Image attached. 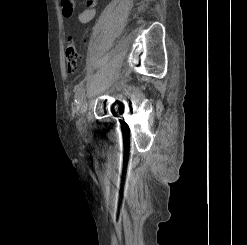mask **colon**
I'll list each match as a JSON object with an SVG mask.
<instances>
[{
	"mask_svg": "<svg viewBox=\"0 0 247 245\" xmlns=\"http://www.w3.org/2000/svg\"><path fill=\"white\" fill-rule=\"evenodd\" d=\"M65 59L67 72L70 75L77 74L81 69V52L76 46L74 38L68 37L66 49H65Z\"/></svg>",
	"mask_w": 247,
	"mask_h": 245,
	"instance_id": "colon-1",
	"label": "colon"
}]
</instances>
